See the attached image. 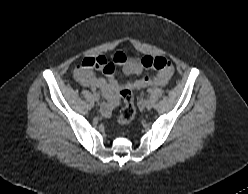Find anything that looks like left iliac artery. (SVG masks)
Returning <instances> with one entry per match:
<instances>
[{
  "mask_svg": "<svg viewBox=\"0 0 248 194\" xmlns=\"http://www.w3.org/2000/svg\"><path fill=\"white\" fill-rule=\"evenodd\" d=\"M151 92H152V90H151V89H149V90H148V93H151Z\"/></svg>",
  "mask_w": 248,
  "mask_h": 194,
  "instance_id": "obj_1",
  "label": "left iliac artery"
}]
</instances>
